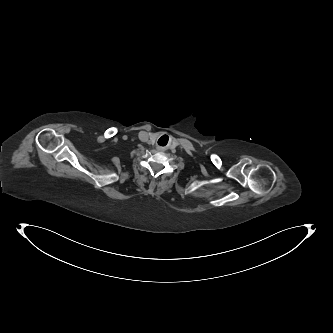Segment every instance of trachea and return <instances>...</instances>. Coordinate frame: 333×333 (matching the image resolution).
<instances>
[{"mask_svg": "<svg viewBox=\"0 0 333 333\" xmlns=\"http://www.w3.org/2000/svg\"><path fill=\"white\" fill-rule=\"evenodd\" d=\"M163 137H165V135L162 136V137L159 139V141H158V143H159L160 145H161V142H162Z\"/></svg>", "mask_w": 333, "mask_h": 333, "instance_id": "obj_1", "label": "trachea"}]
</instances>
